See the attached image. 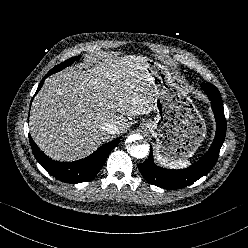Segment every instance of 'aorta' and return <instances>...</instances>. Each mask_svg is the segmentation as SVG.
Here are the masks:
<instances>
[{"label": "aorta", "mask_w": 248, "mask_h": 248, "mask_svg": "<svg viewBox=\"0 0 248 248\" xmlns=\"http://www.w3.org/2000/svg\"><path fill=\"white\" fill-rule=\"evenodd\" d=\"M141 137L139 135H131L128 138L130 143L139 140ZM127 152L138 159L145 158L149 154V145L147 144H129L127 147Z\"/></svg>", "instance_id": "obj_1"}]
</instances>
